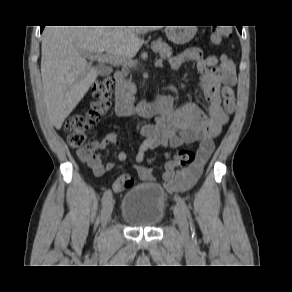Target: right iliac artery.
<instances>
[{
  "mask_svg": "<svg viewBox=\"0 0 292 292\" xmlns=\"http://www.w3.org/2000/svg\"><path fill=\"white\" fill-rule=\"evenodd\" d=\"M112 196L111 190H106L102 197V203L105 204Z\"/></svg>",
  "mask_w": 292,
  "mask_h": 292,
  "instance_id": "1",
  "label": "right iliac artery"
}]
</instances>
